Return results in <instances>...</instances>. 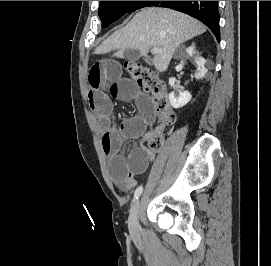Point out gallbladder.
<instances>
[{"label":"gallbladder","instance_id":"gallbladder-1","mask_svg":"<svg viewBox=\"0 0 271 266\" xmlns=\"http://www.w3.org/2000/svg\"><path fill=\"white\" fill-rule=\"evenodd\" d=\"M136 52L133 51V50H125L124 52V58L127 59V60H134L136 59L137 57L136 56H132L133 54H135ZM145 62L147 64H150L151 60L149 58H146L145 59Z\"/></svg>","mask_w":271,"mask_h":266}]
</instances>
